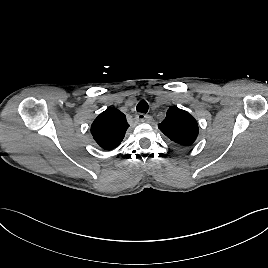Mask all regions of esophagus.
<instances>
[{"instance_id":"obj_1","label":"esophagus","mask_w":268,"mask_h":268,"mask_svg":"<svg viewBox=\"0 0 268 268\" xmlns=\"http://www.w3.org/2000/svg\"><path fill=\"white\" fill-rule=\"evenodd\" d=\"M137 120L140 121V122H145L146 120L149 119V116L144 114V113H139L137 116H136Z\"/></svg>"}]
</instances>
